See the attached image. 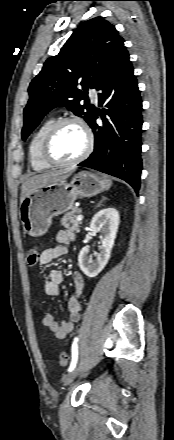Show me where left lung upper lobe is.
Here are the masks:
<instances>
[{
  "label": "left lung upper lobe",
  "mask_w": 174,
  "mask_h": 440,
  "mask_svg": "<svg viewBox=\"0 0 174 440\" xmlns=\"http://www.w3.org/2000/svg\"><path fill=\"white\" fill-rule=\"evenodd\" d=\"M124 48L123 38L107 20L96 17L83 22L59 54L50 57L30 83L29 101L24 109L23 140L56 106H66L88 122L94 107L79 102L89 87L97 89L102 76ZM78 85L83 91L77 88Z\"/></svg>",
  "instance_id": "obj_1"
}]
</instances>
